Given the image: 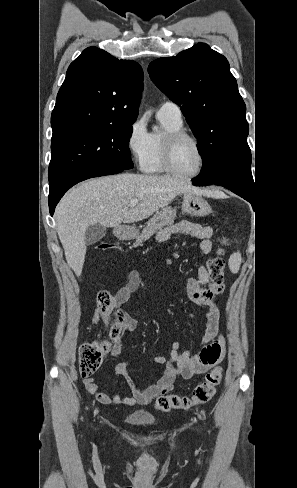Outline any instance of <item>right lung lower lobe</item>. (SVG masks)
<instances>
[{"label": "right lung lower lobe", "mask_w": 297, "mask_h": 488, "mask_svg": "<svg viewBox=\"0 0 297 488\" xmlns=\"http://www.w3.org/2000/svg\"><path fill=\"white\" fill-rule=\"evenodd\" d=\"M121 171H123V170L122 169H110V170H102V171L92 172V173H89V174H87V175H85V176H83V177H81V178L73 181L72 183H70L69 185H67L62 191H60L58 194H56L53 197H49V209H50L51 216L53 215L54 210H55V207H56L57 203L59 202V200L61 199V197L73 185H75L78 182H81L83 180L89 179V178L99 177V176H105V175H111V174H116V173H119Z\"/></svg>", "instance_id": "1"}]
</instances>
